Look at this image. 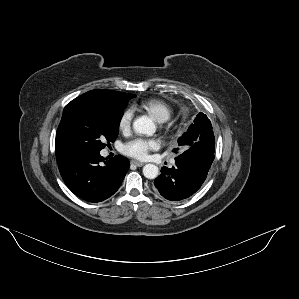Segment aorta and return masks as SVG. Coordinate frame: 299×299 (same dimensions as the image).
<instances>
[{
    "label": "aorta",
    "instance_id": "aorta-1",
    "mask_svg": "<svg viewBox=\"0 0 299 299\" xmlns=\"http://www.w3.org/2000/svg\"><path fill=\"white\" fill-rule=\"evenodd\" d=\"M133 129L137 134L147 136H152L156 131L155 124L147 116L137 118L133 122ZM143 174L148 179H155L159 174V169L154 164H146L143 167Z\"/></svg>",
    "mask_w": 299,
    "mask_h": 299
}]
</instances>
